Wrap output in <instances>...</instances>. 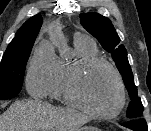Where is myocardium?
Returning <instances> with one entry per match:
<instances>
[{
    "instance_id": "obj_1",
    "label": "myocardium",
    "mask_w": 151,
    "mask_h": 131,
    "mask_svg": "<svg viewBox=\"0 0 151 131\" xmlns=\"http://www.w3.org/2000/svg\"><path fill=\"white\" fill-rule=\"evenodd\" d=\"M99 65H103L111 71L118 85L119 101L116 108L110 113H101L92 109L81 93V83L83 79L90 70ZM65 93L67 100L71 104L80 108L92 117L104 120L117 117L122 112L126 102V88L120 73L108 60L99 56L86 59L71 72L66 81Z\"/></svg>"
}]
</instances>
